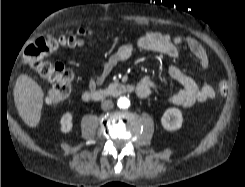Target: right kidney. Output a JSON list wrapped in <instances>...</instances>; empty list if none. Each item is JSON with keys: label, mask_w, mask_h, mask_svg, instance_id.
Segmentation results:
<instances>
[{"label": "right kidney", "mask_w": 245, "mask_h": 187, "mask_svg": "<svg viewBox=\"0 0 245 187\" xmlns=\"http://www.w3.org/2000/svg\"><path fill=\"white\" fill-rule=\"evenodd\" d=\"M72 119H73V115L69 112L65 113L62 116L60 120L61 132L68 133L72 130L73 127Z\"/></svg>", "instance_id": "right-kidney-1"}]
</instances>
